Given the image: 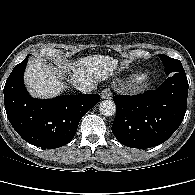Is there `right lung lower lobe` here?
Segmentation results:
<instances>
[{
  "label": "right lung lower lobe",
  "instance_id": "1",
  "mask_svg": "<svg viewBox=\"0 0 195 195\" xmlns=\"http://www.w3.org/2000/svg\"><path fill=\"white\" fill-rule=\"evenodd\" d=\"M27 61L28 57L16 65L6 81L3 91L7 117L26 142L48 149L64 146L74 138L81 118L98 103L100 95L32 98L23 82Z\"/></svg>",
  "mask_w": 195,
  "mask_h": 195
}]
</instances>
